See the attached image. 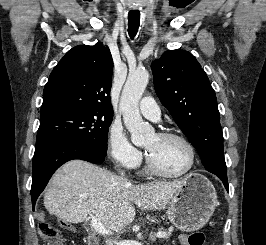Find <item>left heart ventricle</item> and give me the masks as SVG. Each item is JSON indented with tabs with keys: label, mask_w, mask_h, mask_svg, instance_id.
Instances as JSON below:
<instances>
[{
	"label": "left heart ventricle",
	"mask_w": 266,
	"mask_h": 245,
	"mask_svg": "<svg viewBox=\"0 0 266 245\" xmlns=\"http://www.w3.org/2000/svg\"><path fill=\"white\" fill-rule=\"evenodd\" d=\"M145 147L152 163L162 173L177 175L189 164V150L179 140L153 135L146 141Z\"/></svg>",
	"instance_id": "left-heart-ventricle-1"
}]
</instances>
